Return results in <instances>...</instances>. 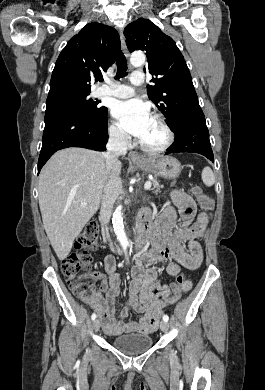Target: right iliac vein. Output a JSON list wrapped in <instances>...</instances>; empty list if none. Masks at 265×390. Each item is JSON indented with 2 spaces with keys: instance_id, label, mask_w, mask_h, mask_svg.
I'll use <instances>...</instances> for the list:
<instances>
[{
  "instance_id": "right-iliac-vein-1",
  "label": "right iliac vein",
  "mask_w": 265,
  "mask_h": 390,
  "mask_svg": "<svg viewBox=\"0 0 265 390\" xmlns=\"http://www.w3.org/2000/svg\"><path fill=\"white\" fill-rule=\"evenodd\" d=\"M99 328H100V321L98 319H95L93 321V329H94V331H98Z\"/></svg>"
}]
</instances>
